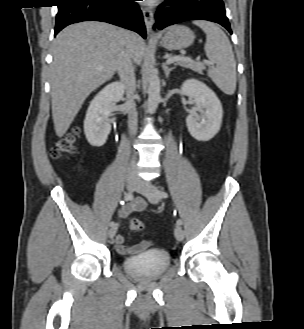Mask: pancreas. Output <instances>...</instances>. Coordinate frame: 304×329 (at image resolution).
Segmentation results:
<instances>
[{
	"label": "pancreas",
	"instance_id": "pancreas-1",
	"mask_svg": "<svg viewBox=\"0 0 304 329\" xmlns=\"http://www.w3.org/2000/svg\"><path fill=\"white\" fill-rule=\"evenodd\" d=\"M175 65H179V66H182V67H185V68H188V69H191L195 72H198L199 74H203V69H204V65L200 62H195V61H192V62H188V61H177L175 63Z\"/></svg>",
	"mask_w": 304,
	"mask_h": 329
}]
</instances>
